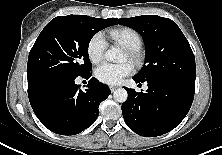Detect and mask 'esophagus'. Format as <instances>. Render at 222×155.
<instances>
[{"label":"esophagus","instance_id":"1","mask_svg":"<svg viewBox=\"0 0 222 155\" xmlns=\"http://www.w3.org/2000/svg\"><path fill=\"white\" fill-rule=\"evenodd\" d=\"M109 88H110L111 92H114L118 87L111 85V86H109Z\"/></svg>","mask_w":222,"mask_h":155}]
</instances>
